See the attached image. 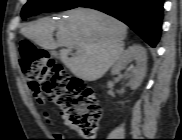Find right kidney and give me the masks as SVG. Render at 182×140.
Segmentation results:
<instances>
[{"instance_id": "obj_1", "label": "right kidney", "mask_w": 182, "mask_h": 140, "mask_svg": "<svg viewBox=\"0 0 182 140\" xmlns=\"http://www.w3.org/2000/svg\"><path fill=\"white\" fill-rule=\"evenodd\" d=\"M134 61L136 66L132 71L133 77L130 79L129 85L132 90L137 89L145 75L147 69V56L146 50L140 45L130 46L125 53L119 58L112 68V75L118 74L122 69H124L128 62ZM108 88H112L114 83L109 81L107 84Z\"/></svg>"}]
</instances>
